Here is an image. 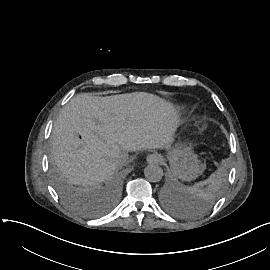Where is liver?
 Masks as SVG:
<instances>
[{
    "instance_id": "1",
    "label": "liver",
    "mask_w": 270,
    "mask_h": 270,
    "mask_svg": "<svg viewBox=\"0 0 270 270\" xmlns=\"http://www.w3.org/2000/svg\"><path fill=\"white\" fill-rule=\"evenodd\" d=\"M170 109L147 93L76 95L54 123L52 158L69 182L96 186L124 164L119 153L160 150L172 143L178 124L162 119Z\"/></svg>"
}]
</instances>
